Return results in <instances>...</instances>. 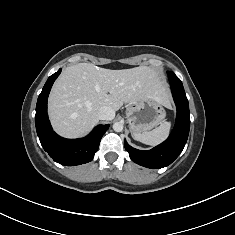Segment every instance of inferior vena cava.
I'll use <instances>...</instances> for the list:
<instances>
[{
    "label": "inferior vena cava",
    "mask_w": 235,
    "mask_h": 235,
    "mask_svg": "<svg viewBox=\"0 0 235 235\" xmlns=\"http://www.w3.org/2000/svg\"><path fill=\"white\" fill-rule=\"evenodd\" d=\"M115 117V111L109 106H102L98 111L100 120H112Z\"/></svg>",
    "instance_id": "1"
}]
</instances>
